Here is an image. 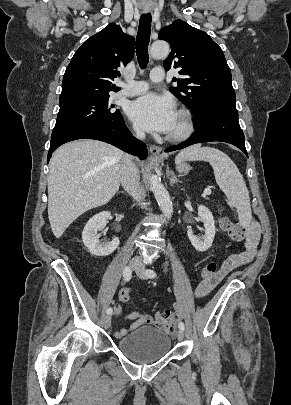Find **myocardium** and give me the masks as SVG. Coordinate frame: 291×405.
Instances as JSON below:
<instances>
[{
  "instance_id": "obj_1",
  "label": "myocardium",
  "mask_w": 291,
  "mask_h": 405,
  "mask_svg": "<svg viewBox=\"0 0 291 405\" xmlns=\"http://www.w3.org/2000/svg\"><path fill=\"white\" fill-rule=\"evenodd\" d=\"M177 115L181 119V128L173 133H169L167 139L171 142H182L188 139L195 131V122L191 112L187 109L180 108Z\"/></svg>"
}]
</instances>
